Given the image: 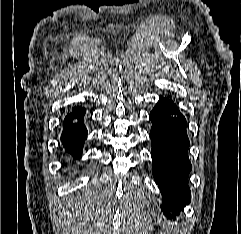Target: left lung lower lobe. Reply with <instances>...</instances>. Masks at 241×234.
<instances>
[{"instance_id":"0a47b994","label":"left lung lower lobe","mask_w":241,"mask_h":234,"mask_svg":"<svg viewBox=\"0 0 241 234\" xmlns=\"http://www.w3.org/2000/svg\"><path fill=\"white\" fill-rule=\"evenodd\" d=\"M149 117L152 173L162 193V210L168 218L175 219L191 199L188 173L192 166L188 157L186 120L168 98H161Z\"/></svg>"}]
</instances>
